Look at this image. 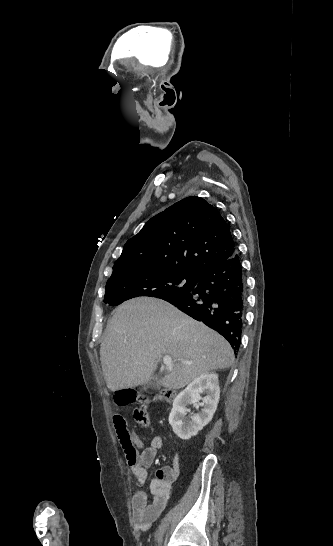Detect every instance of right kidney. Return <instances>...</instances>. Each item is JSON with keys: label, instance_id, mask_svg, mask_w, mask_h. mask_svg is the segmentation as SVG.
<instances>
[{"label": "right kidney", "instance_id": "1", "mask_svg": "<svg viewBox=\"0 0 333 546\" xmlns=\"http://www.w3.org/2000/svg\"><path fill=\"white\" fill-rule=\"evenodd\" d=\"M205 393V397L200 394ZM220 388L218 375L215 373H203L195 378L182 390L173 401V408L169 415V423L174 433L183 440L195 436L213 418L219 402ZM202 400L200 412L191 413L190 420L185 419L190 410L188 405H198Z\"/></svg>", "mask_w": 333, "mask_h": 546}]
</instances>
